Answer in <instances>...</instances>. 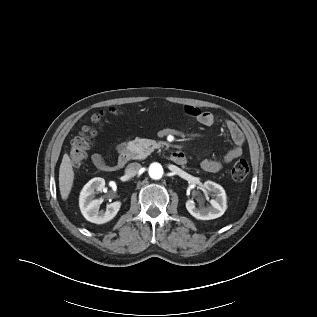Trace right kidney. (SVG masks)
Returning <instances> with one entry per match:
<instances>
[{
    "mask_svg": "<svg viewBox=\"0 0 317 317\" xmlns=\"http://www.w3.org/2000/svg\"><path fill=\"white\" fill-rule=\"evenodd\" d=\"M105 185L103 178L91 179L82 189L79 197V207L81 213L86 220L96 223L103 224L112 220L118 213L121 202L116 201L107 206L106 211L99 210L101 204L100 200L94 199L95 192L102 191Z\"/></svg>",
    "mask_w": 317,
    "mask_h": 317,
    "instance_id": "ca27d5eb",
    "label": "right kidney"
}]
</instances>
